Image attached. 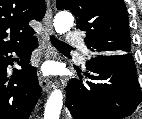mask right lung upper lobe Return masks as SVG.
<instances>
[{"label": "right lung upper lobe", "mask_w": 142, "mask_h": 119, "mask_svg": "<svg viewBox=\"0 0 142 119\" xmlns=\"http://www.w3.org/2000/svg\"><path fill=\"white\" fill-rule=\"evenodd\" d=\"M44 15V0H0V51L27 43L35 33L29 21Z\"/></svg>", "instance_id": "cb5924a9"}]
</instances>
